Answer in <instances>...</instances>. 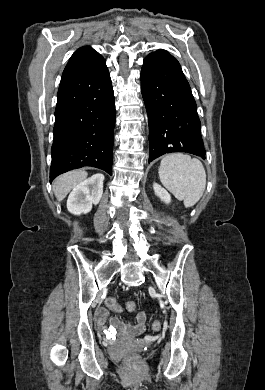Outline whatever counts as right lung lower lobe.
<instances>
[{
    "label": "right lung lower lobe",
    "instance_id": "98d812e1",
    "mask_svg": "<svg viewBox=\"0 0 265 390\" xmlns=\"http://www.w3.org/2000/svg\"><path fill=\"white\" fill-rule=\"evenodd\" d=\"M114 92L105 60L60 83L55 109L50 181L93 166L112 174Z\"/></svg>",
    "mask_w": 265,
    "mask_h": 390
}]
</instances>
